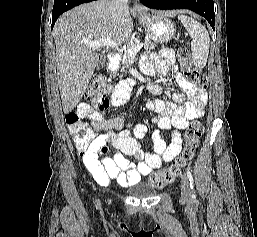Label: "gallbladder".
<instances>
[{"label": "gallbladder", "instance_id": "1", "mask_svg": "<svg viewBox=\"0 0 257 237\" xmlns=\"http://www.w3.org/2000/svg\"><path fill=\"white\" fill-rule=\"evenodd\" d=\"M105 62H106V60H105L103 57H101V58L99 59L98 64H97V69H101V68H103V67H104Z\"/></svg>", "mask_w": 257, "mask_h": 237}]
</instances>
